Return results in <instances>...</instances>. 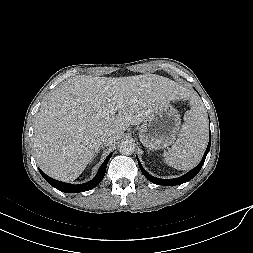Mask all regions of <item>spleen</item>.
Here are the masks:
<instances>
[{"label":"spleen","instance_id":"spleen-1","mask_svg":"<svg viewBox=\"0 0 253 253\" xmlns=\"http://www.w3.org/2000/svg\"><path fill=\"white\" fill-rule=\"evenodd\" d=\"M208 138L207 119L202 109L194 104L184 115V123L164 162L178 170L195 167L202 158Z\"/></svg>","mask_w":253,"mask_h":253}]
</instances>
